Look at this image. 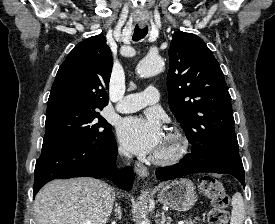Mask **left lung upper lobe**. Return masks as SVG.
<instances>
[{"mask_svg": "<svg viewBox=\"0 0 275 224\" xmlns=\"http://www.w3.org/2000/svg\"><path fill=\"white\" fill-rule=\"evenodd\" d=\"M169 58V106L192 151H238L231 97L210 49L200 37L178 31Z\"/></svg>", "mask_w": 275, "mask_h": 224, "instance_id": "5c2ea615", "label": "left lung upper lobe"}]
</instances>
